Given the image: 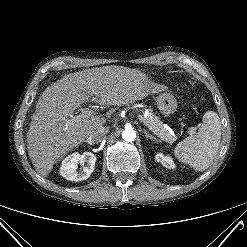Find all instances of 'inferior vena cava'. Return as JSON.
I'll return each mask as SVG.
<instances>
[{"mask_svg": "<svg viewBox=\"0 0 247 247\" xmlns=\"http://www.w3.org/2000/svg\"><path fill=\"white\" fill-rule=\"evenodd\" d=\"M107 132L105 127H100L87 137V142L89 144H98L105 139Z\"/></svg>", "mask_w": 247, "mask_h": 247, "instance_id": "602c4592", "label": "inferior vena cava"}]
</instances>
